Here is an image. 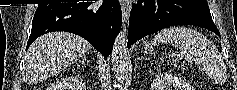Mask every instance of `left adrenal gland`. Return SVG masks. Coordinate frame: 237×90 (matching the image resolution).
Listing matches in <instances>:
<instances>
[{
  "label": "left adrenal gland",
  "mask_w": 237,
  "mask_h": 90,
  "mask_svg": "<svg viewBox=\"0 0 237 90\" xmlns=\"http://www.w3.org/2000/svg\"><path fill=\"white\" fill-rule=\"evenodd\" d=\"M137 60H145V58H137Z\"/></svg>",
  "instance_id": "a2214340"
}]
</instances>
